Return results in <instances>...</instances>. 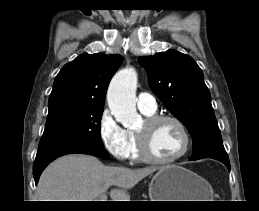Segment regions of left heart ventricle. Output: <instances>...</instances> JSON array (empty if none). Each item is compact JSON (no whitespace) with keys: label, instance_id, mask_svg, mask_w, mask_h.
I'll list each match as a JSON object with an SVG mask.
<instances>
[{"label":"left heart ventricle","instance_id":"obj_1","mask_svg":"<svg viewBox=\"0 0 259 211\" xmlns=\"http://www.w3.org/2000/svg\"><path fill=\"white\" fill-rule=\"evenodd\" d=\"M137 131L146 136L149 151L157 158H170L182 149L183 137L171 121H162L151 127L143 122Z\"/></svg>","mask_w":259,"mask_h":211}]
</instances>
